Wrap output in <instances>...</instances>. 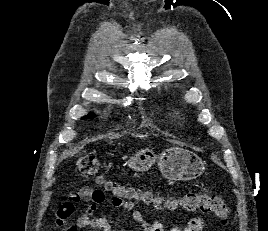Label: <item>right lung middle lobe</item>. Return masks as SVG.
<instances>
[{
    "instance_id": "1",
    "label": "right lung middle lobe",
    "mask_w": 268,
    "mask_h": 231,
    "mask_svg": "<svg viewBox=\"0 0 268 231\" xmlns=\"http://www.w3.org/2000/svg\"><path fill=\"white\" fill-rule=\"evenodd\" d=\"M94 117H95V115L89 114L87 116H84L83 119H87V118L93 119Z\"/></svg>"
}]
</instances>
